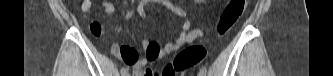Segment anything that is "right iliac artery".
<instances>
[{
	"label": "right iliac artery",
	"instance_id": "obj_1",
	"mask_svg": "<svg viewBox=\"0 0 333 76\" xmlns=\"http://www.w3.org/2000/svg\"><path fill=\"white\" fill-rule=\"evenodd\" d=\"M120 72L122 75H127V70L124 67L121 68Z\"/></svg>",
	"mask_w": 333,
	"mask_h": 76
}]
</instances>
